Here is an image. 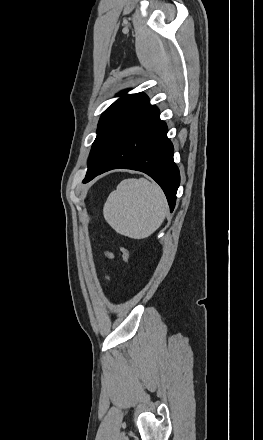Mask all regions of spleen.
<instances>
[{"label":"spleen","instance_id":"obj_1","mask_svg":"<svg viewBox=\"0 0 263 440\" xmlns=\"http://www.w3.org/2000/svg\"><path fill=\"white\" fill-rule=\"evenodd\" d=\"M168 203L162 189L145 178L125 179L103 207L106 222L119 234L143 239L163 223Z\"/></svg>","mask_w":263,"mask_h":440}]
</instances>
